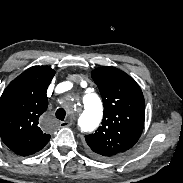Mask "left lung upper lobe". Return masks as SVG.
<instances>
[{
  "instance_id": "5c2ea615",
  "label": "left lung upper lobe",
  "mask_w": 183,
  "mask_h": 183,
  "mask_svg": "<svg viewBox=\"0 0 183 183\" xmlns=\"http://www.w3.org/2000/svg\"><path fill=\"white\" fill-rule=\"evenodd\" d=\"M91 76L103 99L102 125L86 135L88 150L97 157L110 158L135 145L145 119V102L139 85L118 68H96Z\"/></svg>"
}]
</instances>
